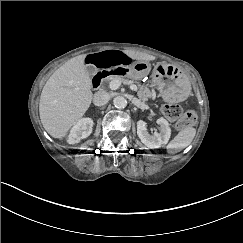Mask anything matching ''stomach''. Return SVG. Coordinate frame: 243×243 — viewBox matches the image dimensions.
Here are the masks:
<instances>
[{
  "instance_id": "0dacf381",
  "label": "stomach",
  "mask_w": 243,
  "mask_h": 243,
  "mask_svg": "<svg viewBox=\"0 0 243 243\" xmlns=\"http://www.w3.org/2000/svg\"><path fill=\"white\" fill-rule=\"evenodd\" d=\"M130 71L134 78L141 79L150 74L151 65L145 61L137 62L132 65ZM150 79L152 85L167 102L184 101L190 94L191 85L188 77L164 63L154 66Z\"/></svg>"
}]
</instances>
